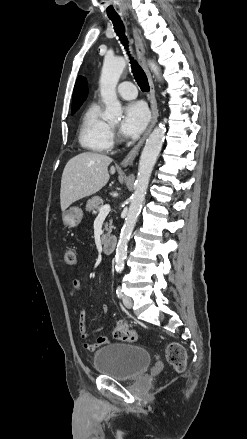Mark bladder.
<instances>
[{"mask_svg": "<svg viewBox=\"0 0 247 439\" xmlns=\"http://www.w3.org/2000/svg\"><path fill=\"white\" fill-rule=\"evenodd\" d=\"M151 362L152 356L145 348L119 343L101 348L93 358L97 373L123 381L141 376Z\"/></svg>", "mask_w": 247, "mask_h": 439, "instance_id": "31cf9c89", "label": "bladder"}]
</instances>
